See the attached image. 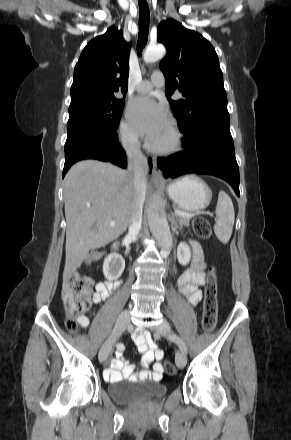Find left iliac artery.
I'll return each mask as SVG.
<instances>
[{"mask_svg":"<svg viewBox=\"0 0 291 440\" xmlns=\"http://www.w3.org/2000/svg\"><path fill=\"white\" fill-rule=\"evenodd\" d=\"M170 339L172 341H174L180 348L181 351H183L184 353H187V347L184 343V341L176 334H173L170 336Z\"/></svg>","mask_w":291,"mask_h":440,"instance_id":"obj_1","label":"left iliac artery"}]
</instances>
